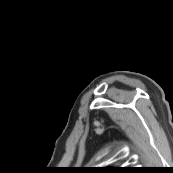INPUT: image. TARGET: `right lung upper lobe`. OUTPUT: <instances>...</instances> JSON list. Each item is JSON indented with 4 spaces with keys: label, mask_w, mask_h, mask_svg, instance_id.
Wrapping results in <instances>:
<instances>
[{
    "label": "right lung upper lobe",
    "mask_w": 173,
    "mask_h": 173,
    "mask_svg": "<svg viewBox=\"0 0 173 173\" xmlns=\"http://www.w3.org/2000/svg\"><path fill=\"white\" fill-rule=\"evenodd\" d=\"M103 172H120L123 171V169L118 167H105L101 169Z\"/></svg>",
    "instance_id": "1"
}]
</instances>
